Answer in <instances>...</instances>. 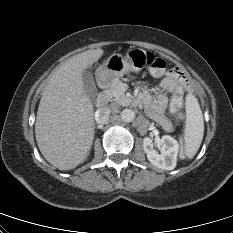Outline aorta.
<instances>
[{
	"label": "aorta",
	"mask_w": 233,
	"mask_h": 233,
	"mask_svg": "<svg viewBox=\"0 0 233 233\" xmlns=\"http://www.w3.org/2000/svg\"><path fill=\"white\" fill-rule=\"evenodd\" d=\"M135 118V113L133 110L131 109H124L122 112H121V119L124 121V122H132Z\"/></svg>",
	"instance_id": "762f6f07"
}]
</instances>
